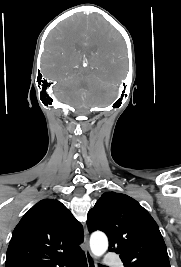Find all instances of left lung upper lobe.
<instances>
[{
    "instance_id": "5c2ea615",
    "label": "left lung upper lobe",
    "mask_w": 181,
    "mask_h": 267,
    "mask_svg": "<svg viewBox=\"0 0 181 267\" xmlns=\"http://www.w3.org/2000/svg\"><path fill=\"white\" fill-rule=\"evenodd\" d=\"M88 230L108 236L109 251L120 254L125 267H170L157 223L133 198L105 192L88 212Z\"/></svg>"
}]
</instances>
